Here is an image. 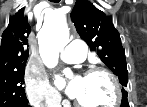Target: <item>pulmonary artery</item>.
I'll list each match as a JSON object with an SVG mask.
<instances>
[{
  "label": "pulmonary artery",
  "instance_id": "e3ab8cb5",
  "mask_svg": "<svg viewBox=\"0 0 147 107\" xmlns=\"http://www.w3.org/2000/svg\"><path fill=\"white\" fill-rule=\"evenodd\" d=\"M86 54V44L80 40H74L62 51L61 59L70 64L80 63L85 60Z\"/></svg>",
  "mask_w": 147,
  "mask_h": 107
}]
</instances>
